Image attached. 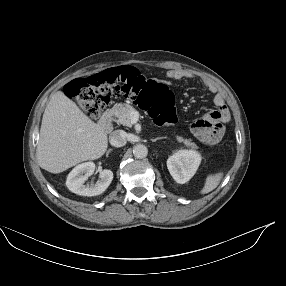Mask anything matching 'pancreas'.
I'll return each mask as SVG.
<instances>
[{"instance_id":"cf45deb5","label":"pancreas","mask_w":286,"mask_h":286,"mask_svg":"<svg viewBox=\"0 0 286 286\" xmlns=\"http://www.w3.org/2000/svg\"><path fill=\"white\" fill-rule=\"evenodd\" d=\"M111 111L117 124L128 127L133 125L131 112L134 111V108L131 105L126 103H117L112 107ZM176 139L178 142L184 143L187 147L197 148L190 139H185L181 136H177Z\"/></svg>"}]
</instances>
